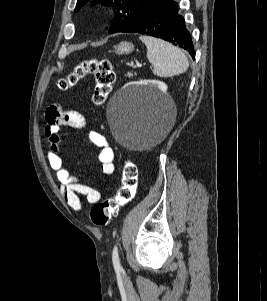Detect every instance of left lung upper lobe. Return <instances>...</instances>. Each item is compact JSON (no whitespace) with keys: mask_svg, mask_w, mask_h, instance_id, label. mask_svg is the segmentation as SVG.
I'll return each mask as SVG.
<instances>
[{"mask_svg":"<svg viewBox=\"0 0 267 301\" xmlns=\"http://www.w3.org/2000/svg\"><path fill=\"white\" fill-rule=\"evenodd\" d=\"M89 0H78L75 11H78ZM158 0H93L91 6L102 3L105 6H113L115 17L112 25L109 27L110 34L118 32L124 25L135 20L144 13L149 6Z\"/></svg>","mask_w":267,"mask_h":301,"instance_id":"1","label":"left lung upper lobe"}]
</instances>
